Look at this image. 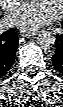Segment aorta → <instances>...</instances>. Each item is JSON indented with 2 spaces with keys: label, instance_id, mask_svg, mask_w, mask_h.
Returning <instances> with one entry per match:
<instances>
[{
  "label": "aorta",
  "instance_id": "obj_1",
  "mask_svg": "<svg viewBox=\"0 0 63 107\" xmlns=\"http://www.w3.org/2000/svg\"><path fill=\"white\" fill-rule=\"evenodd\" d=\"M37 44L44 50H49L55 45V36L52 32L42 31L37 36Z\"/></svg>",
  "mask_w": 63,
  "mask_h": 107
}]
</instances>
